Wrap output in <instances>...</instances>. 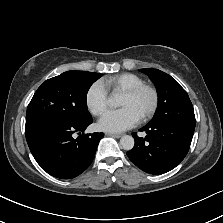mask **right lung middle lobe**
Wrapping results in <instances>:
<instances>
[{
	"label": "right lung middle lobe",
	"mask_w": 223,
	"mask_h": 223,
	"mask_svg": "<svg viewBox=\"0 0 223 223\" xmlns=\"http://www.w3.org/2000/svg\"><path fill=\"white\" fill-rule=\"evenodd\" d=\"M101 76L86 71H67L43 82L27 107L26 129L50 123L91 121L86 96L92 83Z\"/></svg>",
	"instance_id": "right-lung-middle-lobe-1"
}]
</instances>
